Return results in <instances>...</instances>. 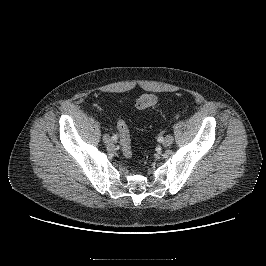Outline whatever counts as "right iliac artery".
Segmentation results:
<instances>
[{"label":"right iliac artery","mask_w":266,"mask_h":266,"mask_svg":"<svg viewBox=\"0 0 266 266\" xmlns=\"http://www.w3.org/2000/svg\"><path fill=\"white\" fill-rule=\"evenodd\" d=\"M112 139H113L114 141H116L117 136H116V135L112 136Z\"/></svg>","instance_id":"obj_1"}]
</instances>
